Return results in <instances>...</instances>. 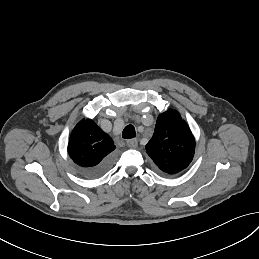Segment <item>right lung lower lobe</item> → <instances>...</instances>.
I'll return each mask as SVG.
<instances>
[{
  "mask_svg": "<svg viewBox=\"0 0 259 259\" xmlns=\"http://www.w3.org/2000/svg\"><path fill=\"white\" fill-rule=\"evenodd\" d=\"M114 157L109 155L99 164L93 167H77V171L79 174L86 178H95L101 176L102 174L106 173L113 165Z\"/></svg>",
  "mask_w": 259,
  "mask_h": 259,
  "instance_id": "right-lung-lower-lobe-1",
  "label": "right lung lower lobe"
}]
</instances>
